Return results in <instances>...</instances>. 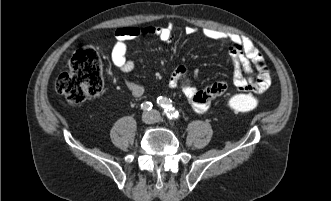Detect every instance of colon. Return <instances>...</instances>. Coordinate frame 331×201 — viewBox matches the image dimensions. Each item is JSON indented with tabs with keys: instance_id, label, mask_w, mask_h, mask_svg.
Masks as SVG:
<instances>
[{
	"instance_id": "obj_1",
	"label": "colon",
	"mask_w": 331,
	"mask_h": 201,
	"mask_svg": "<svg viewBox=\"0 0 331 201\" xmlns=\"http://www.w3.org/2000/svg\"><path fill=\"white\" fill-rule=\"evenodd\" d=\"M103 87L101 60L92 47L77 50L70 59L68 70L61 73L55 82L56 91L69 105H77L98 96ZM259 103V98L248 92L231 96L227 107L233 112L241 113L256 109Z\"/></svg>"
}]
</instances>
